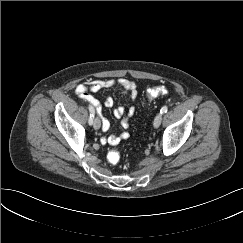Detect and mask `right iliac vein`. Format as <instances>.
I'll list each match as a JSON object with an SVG mask.
<instances>
[{"label": "right iliac vein", "mask_w": 243, "mask_h": 243, "mask_svg": "<svg viewBox=\"0 0 243 243\" xmlns=\"http://www.w3.org/2000/svg\"><path fill=\"white\" fill-rule=\"evenodd\" d=\"M93 127L96 130H98L101 127V121H100V119L98 117L94 118Z\"/></svg>", "instance_id": "obj_1"}]
</instances>
